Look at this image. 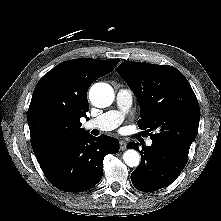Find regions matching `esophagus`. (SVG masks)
<instances>
[{
  "instance_id": "34e87169",
  "label": "esophagus",
  "mask_w": 221,
  "mask_h": 221,
  "mask_svg": "<svg viewBox=\"0 0 221 221\" xmlns=\"http://www.w3.org/2000/svg\"><path fill=\"white\" fill-rule=\"evenodd\" d=\"M126 149V143L125 141L121 140L120 141V150L124 151Z\"/></svg>"
}]
</instances>
